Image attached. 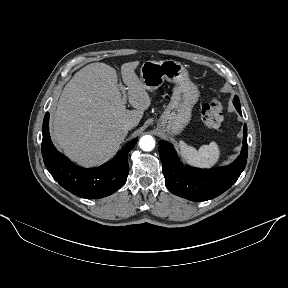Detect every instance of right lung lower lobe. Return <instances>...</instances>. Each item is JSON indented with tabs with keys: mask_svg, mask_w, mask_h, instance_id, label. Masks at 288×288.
<instances>
[{
	"mask_svg": "<svg viewBox=\"0 0 288 288\" xmlns=\"http://www.w3.org/2000/svg\"><path fill=\"white\" fill-rule=\"evenodd\" d=\"M49 113L43 120L42 156L47 170L53 178L74 195L87 199L108 196L117 191L127 180L129 166L127 155L137 143L130 141L110 162L86 169L79 167L58 152L49 135Z\"/></svg>",
	"mask_w": 288,
	"mask_h": 288,
	"instance_id": "right-lung-lower-lobe-1",
	"label": "right lung lower lobe"
}]
</instances>
